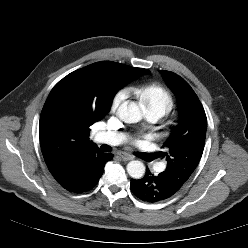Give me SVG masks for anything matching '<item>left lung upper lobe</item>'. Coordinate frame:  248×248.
<instances>
[{"instance_id":"obj_1","label":"left lung upper lobe","mask_w":248,"mask_h":248,"mask_svg":"<svg viewBox=\"0 0 248 248\" xmlns=\"http://www.w3.org/2000/svg\"><path fill=\"white\" fill-rule=\"evenodd\" d=\"M179 102L180 119L164 143L169 151L164 171L180 189L197 167L203 153L207 118L203 106L189 84L177 74L160 70Z\"/></svg>"}]
</instances>
